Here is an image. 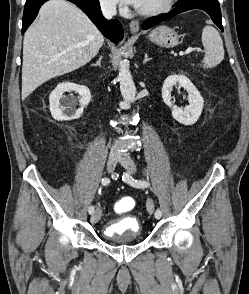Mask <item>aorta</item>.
Segmentation results:
<instances>
[{"label": "aorta", "mask_w": 249, "mask_h": 294, "mask_svg": "<svg viewBox=\"0 0 249 294\" xmlns=\"http://www.w3.org/2000/svg\"><path fill=\"white\" fill-rule=\"evenodd\" d=\"M118 80L120 83V91L126 101H133L136 96V87L129 69L127 60H121L119 63Z\"/></svg>", "instance_id": "1"}]
</instances>
